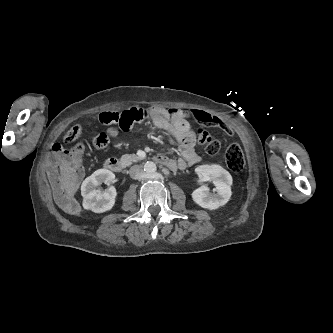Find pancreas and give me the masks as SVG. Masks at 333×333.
Listing matches in <instances>:
<instances>
[{"label": "pancreas", "instance_id": "cf45deb5", "mask_svg": "<svg viewBox=\"0 0 333 333\" xmlns=\"http://www.w3.org/2000/svg\"><path fill=\"white\" fill-rule=\"evenodd\" d=\"M140 160L141 158L135 154H124L121 157V161L126 165H130L133 162H138Z\"/></svg>", "mask_w": 333, "mask_h": 333}]
</instances>
